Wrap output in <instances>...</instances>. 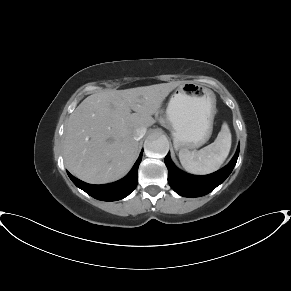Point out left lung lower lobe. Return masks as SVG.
Listing matches in <instances>:
<instances>
[{
  "instance_id": "1",
  "label": "left lung lower lobe",
  "mask_w": 291,
  "mask_h": 291,
  "mask_svg": "<svg viewBox=\"0 0 291 291\" xmlns=\"http://www.w3.org/2000/svg\"><path fill=\"white\" fill-rule=\"evenodd\" d=\"M239 149L240 146L227 166L205 176H195L182 172L173 164L168 153L165 157V164L168 169L169 185L176 193L184 197H200L210 193L232 172L238 159Z\"/></svg>"
}]
</instances>
